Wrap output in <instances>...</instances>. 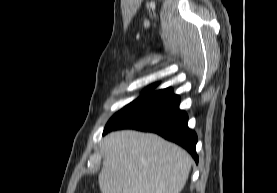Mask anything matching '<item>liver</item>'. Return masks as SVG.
I'll use <instances>...</instances> for the list:
<instances>
[{
  "label": "liver",
  "mask_w": 277,
  "mask_h": 193,
  "mask_svg": "<svg viewBox=\"0 0 277 193\" xmlns=\"http://www.w3.org/2000/svg\"><path fill=\"white\" fill-rule=\"evenodd\" d=\"M102 148L101 193H180L191 170V156L156 134L111 132Z\"/></svg>",
  "instance_id": "6515ba94"
}]
</instances>
